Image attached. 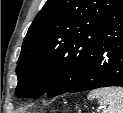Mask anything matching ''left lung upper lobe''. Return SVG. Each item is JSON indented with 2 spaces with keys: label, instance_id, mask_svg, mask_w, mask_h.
I'll list each match as a JSON object with an SVG mask.
<instances>
[{
  "label": "left lung upper lobe",
  "instance_id": "1",
  "mask_svg": "<svg viewBox=\"0 0 123 113\" xmlns=\"http://www.w3.org/2000/svg\"><path fill=\"white\" fill-rule=\"evenodd\" d=\"M117 0H47L17 62L16 93L63 94L81 79L101 23Z\"/></svg>",
  "mask_w": 123,
  "mask_h": 113
}]
</instances>
